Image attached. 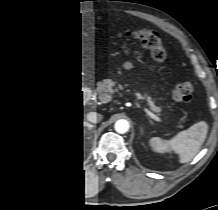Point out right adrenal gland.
I'll return each mask as SVG.
<instances>
[{
	"mask_svg": "<svg viewBox=\"0 0 218 210\" xmlns=\"http://www.w3.org/2000/svg\"><path fill=\"white\" fill-rule=\"evenodd\" d=\"M85 127H87L89 130L92 129L94 126L90 124H84Z\"/></svg>",
	"mask_w": 218,
	"mask_h": 210,
	"instance_id": "right-adrenal-gland-1",
	"label": "right adrenal gland"
}]
</instances>
